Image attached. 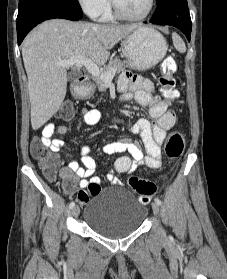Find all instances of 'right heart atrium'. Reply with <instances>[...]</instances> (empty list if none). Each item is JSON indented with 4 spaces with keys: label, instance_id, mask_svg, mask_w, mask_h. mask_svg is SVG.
I'll use <instances>...</instances> for the list:
<instances>
[{
    "label": "right heart atrium",
    "instance_id": "d8ad5b80",
    "mask_svg": "<svg viewBox=\"0 0 227 279\" xmlns=\"http://www.w3.org/2000/svg\"><path fill=\"white\" fill-rule=\"evenodd\" d=\"M82 9L92 17L101 16L109 9V0H77Z\"/></svg>",
    "mask_w": 227,
    "mask_h": 279
}]
</instances>
